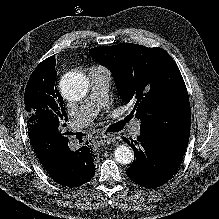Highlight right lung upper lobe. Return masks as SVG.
Listing matches in <instances>:
<instances>
[{"mask_svg": "<svg viewBox=\"0 0 219 219\" xmlns=\"http://www.w3.org/2000/svg\"><path fill=\"white\" fill-rule=\"evenodd\" d=\"M51 61H55V57L54 56H51V57L45 59L43 62H51ZM43 62H41V63H43ZM53 73H54V78H52L51 81H53V85L55 86V78L57 76V73H56L55 70L53 71ZM55 89H56V92L58 93V96L61 98L59 92L57 91V88H55ZM61 100H62V98H61Z\"/></svg>", "mask_w": 219, "mask_h": 219, "instance_id": "obj_1", "label": "right lung upper lobe"}]
</instances>
